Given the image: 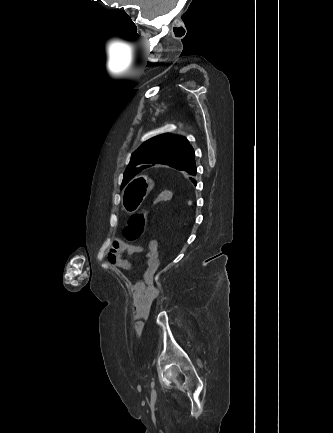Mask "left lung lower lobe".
<instances>
[{
  "mask_svg": "<svg viewBox=\"0 0 333 433\" xmlns=\"http://www.w3.org/2000/svg\"><path fill=\"white\" fill-rule=\"evenodd\" d=\"M148 167H149V166L147 165V166H145L143 169L148 168ZM183 171H186V172H188L190 175L195 176L196 173H197L195 162H194L192 165H190L189 167H187L186 169H184ZM190 179L192 180V182H193L194 184H196L195 180H193L192 178H190Z\"/></svg>",
  "mask_w": 333,
  "mask_h": 433,
  "instance_id": "left-lung-lower-lobe-1",
  "label": "left lung lower lobe"
}]
</instances>
